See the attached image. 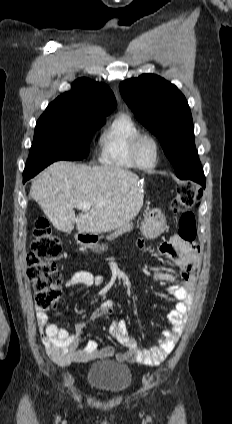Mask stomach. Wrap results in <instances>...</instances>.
Listing matches in <instances>:
<instances>
[{
    "instance_id": "obj_1",
    "label": "stomach",
    "mask_w": 232,
    "mask_h": 424,
    "mask_svg": "<svg viewBox=\"0 0 232 424\" xmlns=\"http://www.w3.org/2000/svg\"><path fill=\"white\" fill-rule=\"evenodd\" d=\"M167 227V222L164 214L159 210H154L153 213H148L141 225V231L145 238L155 239L161 235ZM86 236V235H80ZM94 237H76L77 242L89 249L99 252L105 249V246H100Z\"/></svg>"
}]
</instances>
